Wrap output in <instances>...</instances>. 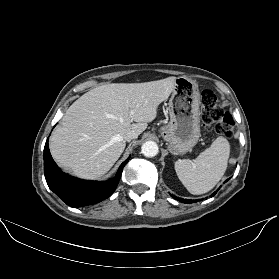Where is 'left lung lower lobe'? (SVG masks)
I'll return each mask as SVG.
<instances>
[{"label":"left lung lower lobe","instance_id":"1","mask_svg":"<svg viewBox=\"0 0 279 279\" xmlns=\"http://www.w3.org/2000/svg\"><path fill=\"white\" fill-rule=\"evenodd\" d=\"M227 181V180H226ZM225 181V182H226ZM217 192V191H216ZM216 192H214L213 194H212V196H214L215 194H216ZM177 200H179V201H181V202H183V203H193V202H197V200H188V199H182V198H179V197H175Z\"/></svg>","mask_w":279,"mask_h":279}]
</instances>
